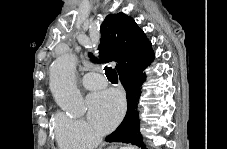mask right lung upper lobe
Returning a JSON list of instances; mask_svg holds the SVG:
<instances>
[{"label":"right lung upper lobe","mask_w":227,"mask_h":149,"mask_svg":"<svg viewBox=\"0 0 227 149\" xmlns=\"http://www.w3.org/2000/svg\"><path fill=\"white\" fill-rule=\"evenodd\" d=\"M101 60L116 61L118 73L133 65H140L153 59L151 42L135 21L124 13L109 14L101 25ZM91 56V54H90Z\"/></svg>","instance_id":"right-lung-upper-lobe-1"}]
</instances>
